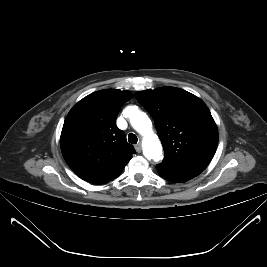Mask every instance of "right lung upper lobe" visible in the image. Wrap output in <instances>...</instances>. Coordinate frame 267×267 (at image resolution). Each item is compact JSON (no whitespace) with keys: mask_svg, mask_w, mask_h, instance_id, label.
Masks as SVG:
<instances>
[{"mask_svg":"<svg viewBox=\"0 0 267 267\" xmlns=\"http://www.w3.org/2000/svg\"><path fill=\"white\" fill-rule=\"evenodd\" d=\"M129 91L106 89L80 100L68 113L61 132L63 157L83 180L104 184L117 178L135 153L116 126Z\"/></svg>","mask_w":267,"mask_h":267,"instance_id":"obj_1","label":"right lung upper lobe"}]
</instances>
